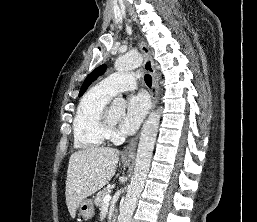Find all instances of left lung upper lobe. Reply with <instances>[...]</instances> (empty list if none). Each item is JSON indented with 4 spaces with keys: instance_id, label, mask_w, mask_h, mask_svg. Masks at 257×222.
<instances>
[{
    "instance_id": "obj_1",
    "label": "left lung upper lobe",
    "mask_w": 257,
    "mask_h": 222,
    "mask_svg": "<svg viewBox=\"0 0 257 222\" xmlns=\"http://www.w3.org/2000/svg\"><path fill=\"white\" fill-rule=\"evenodd\" d=\"M106 70V65H101L99 66L98 68H96L95 70H93L88 76L87 78L85 79L82 87H81V90H80V93H79V96H82L83 93L86 91V89L89 87V85L95 81L99 76H101Z\"/></svg>"
}]
</instances>
